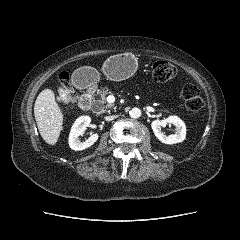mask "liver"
<instances>
[{"instance_id":"6515ba94","label":"liver","mask_w":240,"mask_h":240,"mask_svg":"<svg viewBox=\"0 0 240 240\" xmlns=\"http://www.w3.org/2000/svg\"><path fill=\"white\" fill-rule=\"evenodd\" d=\"M34 116L44 141L55 145L63 128V114L51 89H44L39 93L34 105Z\"/></svg>"}]
</instances>
